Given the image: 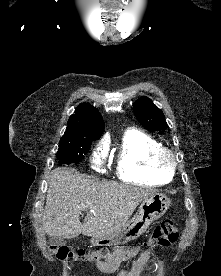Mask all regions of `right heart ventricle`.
<instances>
[{"label":"right heart ventricle","mask_w":221,"mask_h":276,"mask_svg":"<svg viewBox=\"0 0 221 276\" xmlns=\"http://www.w3.org/2000/svg\"><path fill=\"white\" fill-rule=\"evenodd\" d=\"M160 144L149 134L128 129L117 150L116 172L120 180L140 185H158L171 180L172 174L156 169L153 152Z\"/></svg>","instance_id":"right-heart-ventricle-1"}]
</instances>
